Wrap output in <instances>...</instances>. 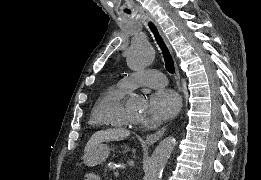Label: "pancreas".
Here are the masks:
<instances>
[{"mask_svg":"<svg viewBox=\"0 0 261 180\" xmlns=\"http://www.w3.org/2000/svg\"><path fill=\"white\" fill-rule=\"evenodd\" d=\"M114 163L113 159H107V162L104 163L102 166V169L104 170V175L105 176H110L111 175V164Z\"/></svg>","mask_w":261,"mask_h":180,"instance_id":"cf45deb5","label":"pancreas"}]
</instances>
